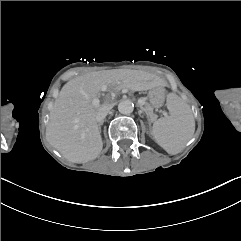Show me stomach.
I'll list each match as a JSON object with an SVG mask.
<instances>
[{"mask_svg":"<svg viewBox=\"0 0 241 241\" xmlns=\"http://www.w3.org/2000/svg\"><path fill=\"white\" fill-rule=\"evenodd\" d=\"M150 105L154 108L163 106L165 101V91L163 88H155L148 94Z\"/></svg>","mask_w":241,"mask_h":241,"instance_id":"obj_1","label":"stomach"}]
</instances>
